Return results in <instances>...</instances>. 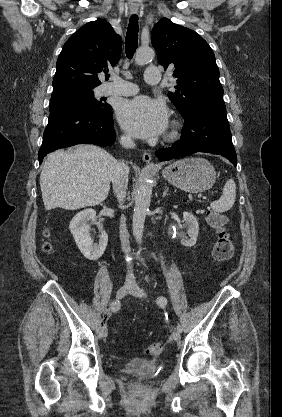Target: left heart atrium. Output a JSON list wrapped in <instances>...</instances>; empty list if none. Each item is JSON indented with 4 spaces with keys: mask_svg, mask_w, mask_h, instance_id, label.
I'll return each instance as SVG.
<instances>
[{
    "mask_svg": "<svg viewBox=\"0 0 282 417\" xmlns=\"http://www.w3.org/2000/svg\"><path fill=\"white\" fill-rule=\"evenodd\" d=\"M122 126L136 136H152L164 131L167 113L164 104L147 97L124 101L118 109Z\"/></svg>",
    "mask_w": 282,
    "mask_h": 417,
    "instance_id": "left-heart-atrium-1",
    "label": "left heart atrium"
}]
</instances>
